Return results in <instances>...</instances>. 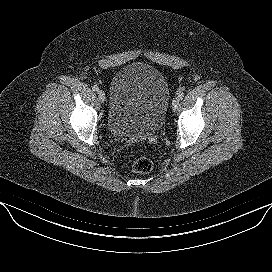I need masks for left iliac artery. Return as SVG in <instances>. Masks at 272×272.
Returning <instances> with one entry per match:
<instances>
[{
  "label": "left iliac artery",
  "mask_w": 272,
  "mask_h": 272,
  "mask_svg": "<svg viewBox=\"0 0 272 272\" xmlns=\"http://www.w3.org/2000/svg\"><path fill=\"white\" fill-rule=\"evenodd\" d=\"M178 97H179L180 99H183L184 93H183V92H180L179 95H178Z\"/></svg>",
  "instance_id": "left-iliac-artery-1"
}]
</instances>
